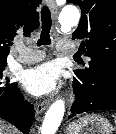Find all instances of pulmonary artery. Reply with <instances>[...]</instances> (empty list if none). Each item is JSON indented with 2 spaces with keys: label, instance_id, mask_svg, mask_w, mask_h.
Returning <instances> with one entry per match:
<instances>
[{
  "label": "pulmonary artery",
  "instance_id": "e3ab8cb5",
  "mask_svg": "<svg viewBox=\"0 0 116 134\" xmlns=\"http://www.w3.org/2000/svg\"><path fill=\"white\" fill-rule=\"evenodd\" d=\"M18 51L17 61L22 64L36 63L45 58V54L38 50H28L21 43L16 44ZM77 50V44L70 40H60L57 43V51L60 53H74Z\"/></svg>",
  "mask_w": 116,
  "mask_h": 134
}]
</instances>
